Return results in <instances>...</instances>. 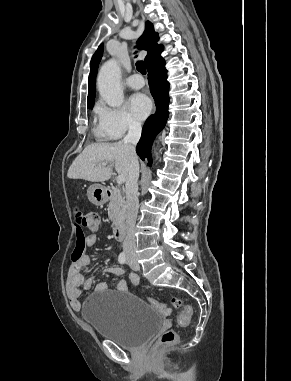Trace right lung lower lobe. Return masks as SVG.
Returning a JSON list of instances; mask_svg holds the SVG:
<instances>
[{"label": "right lung lower lobe", "mask_w": 291, "mask_h": 381, "mask_svg": "<svg viewBox=\"0 0 291 381\" xmlns=\"http://www.w3.org/2000/svg\"><path fill=\"white\" fill-rule=\"evenodd\" d=\"M147 69L150 91L155 100L157 111L146 120L136 152L142 160L148 159V165L151 166V145L156 135L165 127L169 116V82L167 81V70L163 58Z\"/></svg>", "instance_id": "98d812e1"}]
</instances>
